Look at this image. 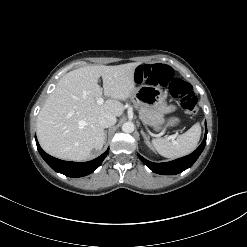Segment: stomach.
Returning <instances> with one entry per match:
<instances>
[{
  "instance_id": "0dacf381",
  "label": "stomach",
  "mask_w": 247,
  "mask_h": 247,
  "mask_svg": "<svg viewBox=\"0 0 247 247\" xmlns=\"http://www.w3.org/2000/svg\"><path fill=\"white\" fill-rule=\"evenodd\" d=\"M133 96L143 106L158 109L162 113H171L176 110L175 105L167 104V93L158 86L141 85L135 89ZM179 123L180 119L177 117H172L168 120V125L170 126H175ZM154 127H158V125Z\"/></svg>"
}]
</instances>
